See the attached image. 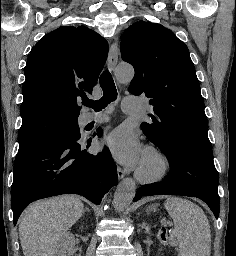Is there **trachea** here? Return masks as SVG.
Returning <instances> with one entry per match:
<instances>
[{"instance_id": "1", "label": "trachea", "mask_w": 236, "mask_h": 256, "mask_svg": "<svg viewBox=\"0 0 236 256\" xmlns=\"http://www.w3.org/2000/svg\"><path fill=\"white\" fill-rule=\"evenodd\" d=\"M100 86L103 90V96L100 100H89L88 98L83 99L82 103L85 106H90L95 111H101L106 108L109 103L117 99V90L115 83L109 71H104L100 76Z\"/></svg>"}]
</instances>
